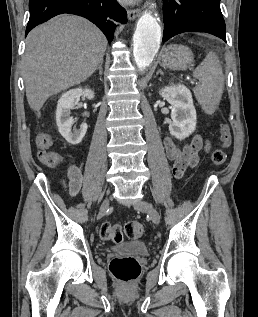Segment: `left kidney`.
I'll return each instance as SVG.
<instances>
[{
    "label": "left kidney",
    "instance_id": "left-kidney-1",
    "mask_svg": "<svg viewBox=\"0 0 258 317\" xmlns=\"http://www.w3.org/2000/svg\"><path fill=\"white\" fill-rule=\"evenodd\" d=\"M159 94L171 104L170 134L182 140L194 132L197 114L189 88L184 84H172L160 88Z\"/></svg>",
    "mask_w": 258,
    "mask_h": 317
}]
</instances>
